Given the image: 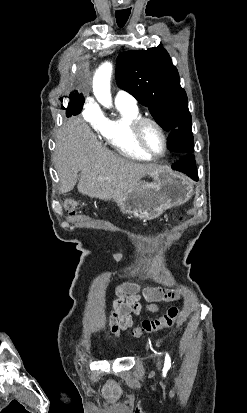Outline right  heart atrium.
<instances>
[{"instance_id":"1","label":"right heart atrium","mask_w":247,"mask_h":413,"mask_svg":"<svg viewBox=\"0 0 247 413\" xmlns=\"http://www.w3.org/2000/svg\"><path fill=\"white\" fill-rule=\"evenodd\" d=\"M83 108L82 118L88 119V123L96 128L98 133H103L106 126V112L101 110V102L99 100H84Z\"/></svg>"}]
</instances>
